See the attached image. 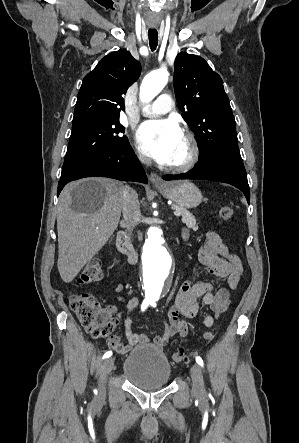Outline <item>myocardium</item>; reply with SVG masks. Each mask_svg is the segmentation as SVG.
Wrapping results in <instances>:
<instances>
[{"label": "myocardium", "mask_w": 299, "mask_h": 443, "mask_svg": "<svg viewBox=\"0 0 299 443\" xmlns=\"http://www.w3.org/2000/svg\"><path fill=\"white\" fill-rule=\"evenodd\" d=\"M188 144V154L184 161L177 164H166V167L175 172H185L194 167L200 155L199 145L195 136L190 132H185L184 136Z\"/></svg>", "instance_id": "1"}]
</instances>
